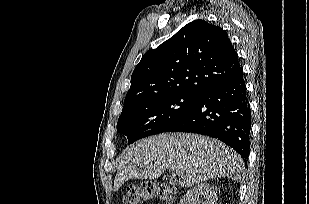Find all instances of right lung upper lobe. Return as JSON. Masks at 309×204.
<instances>
[{
  "mask_svg": "<svg viewBox=\"0 0 309 204\" xmlns=\"http://www.w3.org/2000/svg\"><path fill=\"white\" fill-rule=\"evenodd\" d=\"M240 68L225 31L195 20L145 53L132 73L124 105L172 93L200 95L211 85L232 78Z\"/></svg>",
  "mask_w": 309,
  "mask_h": 204,
  "instance_id": "1",
  "label": "right lung upper lobe"
}]
</instances>
